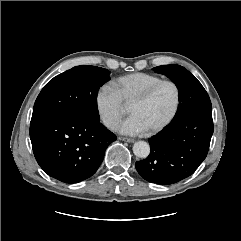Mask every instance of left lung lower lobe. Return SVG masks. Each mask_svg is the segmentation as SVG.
I'll list each match as a JSON object with an SVG mask.
<instances>
[{
    "label": "left lung lower lobe",
    "instance_id": "0a47b994",
    "mask_svg": "<svg viewBox=\"0 0 241 241\" xmlns=\"http://www.w3.org/2000/svg\"><path fill=\"white\" fill-rule=\"evenodd\" d=\"M212 110L168 125L149 139L150 155L136 162L148 182L169 185L191 176L206 158L213 134Z\"/></svg>",
    "mask_w": 241,
    "mask_h": 241
}]
</instances>
